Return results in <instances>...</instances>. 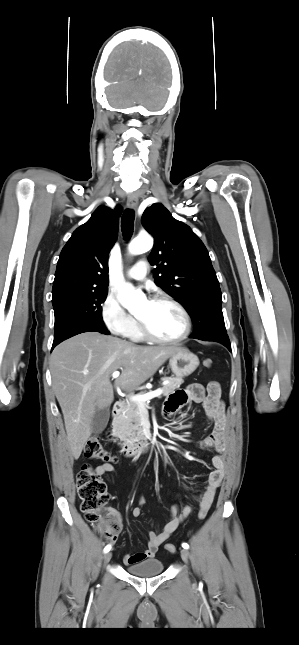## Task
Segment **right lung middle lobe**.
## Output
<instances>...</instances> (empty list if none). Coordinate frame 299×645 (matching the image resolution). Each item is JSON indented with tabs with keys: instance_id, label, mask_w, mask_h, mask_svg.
Listing matches in <instances>:
<instances>
[{
	"instance_id": "obj_1",
	"label": "right lung middle lobe",
	"mask_w": 299,
	"mask_h": 645,
	"mask_svg": "<svg viewBox=\"0 0 299 645\" xmlns=\"http://www.w3.org/2000/svg\"><path fill=\"white\" fill-rule=\"evenodd\" d=\"M107 292L108 290L70 291L53 298L54 341L82 327L106 329L101 304L105 301Z\"/></svg>"
}]
</instances>
